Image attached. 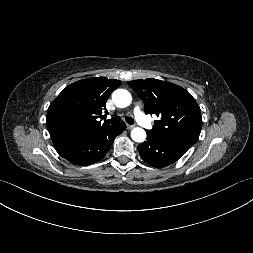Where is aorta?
Returning a JSON list of instances; mask_svg holds the SVG:
<instances>
[{
    "mask_svg": "<svg viewBox=\"0 0 253 253\" xmlns=\"http://www.w3.org/2000/svg\"><path fill=\"white\" fill-rule=\"evenodd\" d=\"M112 100L117 107L124 108L131 104V94L124 89H117L112 94ZM131 138L135 142H144L146 132L144 129L136 127L131 131Z\"/></svg>",
    "mask_w": 253,
    "mask_h": 253,
    "instance_id": "762f6f07",
    "label": "aorta"
}]
</instances>
